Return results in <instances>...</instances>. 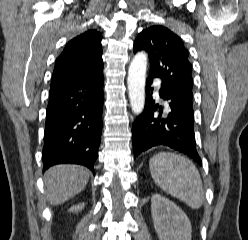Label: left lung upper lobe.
<instances>
[{"mask_svg": "<svg viewBox=\"0 0 248 240\" xmlns=\"http://www.w3.org/2000/svg\"><path fill=\"white\" fill-rule=\"evenodd\" d=\"M134 53L146 51L150 62L149 77L179 98L192 102L193 78L189 52L182 39L166 27L151 26L140 32L134 42Z\"/></svg>", "mask_w": 248, "mask_h": 240, "instance_id": "left-lung-upper-lobe-1", "label": "left lung upper lobe"}]
</instances>
